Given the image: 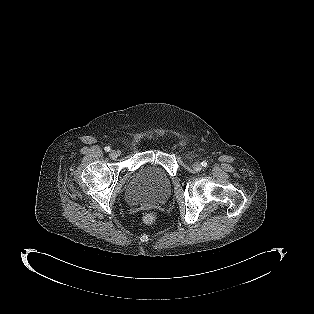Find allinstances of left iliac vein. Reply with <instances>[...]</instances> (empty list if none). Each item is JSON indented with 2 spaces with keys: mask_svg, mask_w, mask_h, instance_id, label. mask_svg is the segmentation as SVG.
<instances>
[{
  "mask_svg": "<svg viewBox=\"0 0 314 314\" xmlns=\"http://www.w3.org/2000/svg\"><path fill=\"white\" fill-rule=\"evenodd\" d=\"M193 168H194V170H196V171H201L202 165H201V163H199V162H195L194 165H193Z\"/></svg>",
  "mask_w": 314,
  "mask_h": 314,
  "instance_id": "left-iliac-vein-1",
  "label": "left iliac vein"
}]
</instances>
